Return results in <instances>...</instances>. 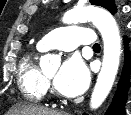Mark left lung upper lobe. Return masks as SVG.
Segmentation results:
<instances>
[{
  "label": "left lung upper lobe",
  "mask_w": 131,
  "mask_h": 115,
  "mask_svg": "<svg viewBox=\"0 0 131 115\" xmlns=\"http://www.w3.org/2000/svg\"><path fill=\"white\" fill-rule=\"evenodd\" d=\"M92 5H97L106 8L112 14L116 12L114 0H89Z\"/></svg>",
  "instance_id": "left-lung-upper-lobe-1"
}]
</instances>
